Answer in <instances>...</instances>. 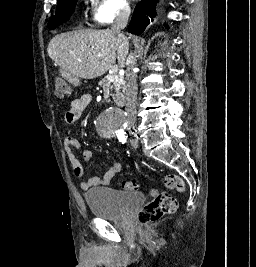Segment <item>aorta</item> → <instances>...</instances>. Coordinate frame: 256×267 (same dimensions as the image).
Listing matches in <instances>:
<instances>
[{
  "mask_svg": "<svg viewBox=\"0 0 256 267\" xmlns=\"http://www.w3.org/2000/svg\"><path fill=\"white\" fill-rule=\"evenodd\" d=\"M97 122L100 127H125L124 117H97ZM99 133H118V128H99Z\"/></svg>",
  "mask_w": 256,
  "mask_h": 267,
  "instance_id": "aorta-1",
  "label": "aorta"
}]
</instances>
